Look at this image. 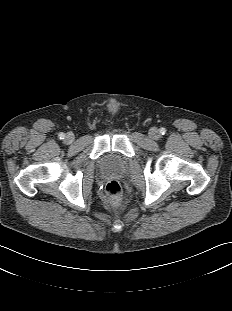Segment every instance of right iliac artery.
I'll return each mask as SVG.
<instances>
[{"label": "right iliac artery", "mask_w": 232, "mask_h": 311, "mask_svg": "<svg viewBox=\"0 0 232 311\" xmlns=\"http://www.w3.org/2000/svg\"><path fill=\"white\" fill-rule=\"evenodd\" d=\"M59 138H60V139H64V138H65V134H64V133H60V134H59Z\"/></svg>", "instance_id": "1"}]
</instances>
